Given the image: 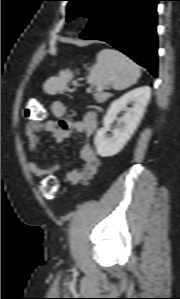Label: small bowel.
<instances>
[{"mask_svg": "<svg viewBox=\"0 0 180 299\" xmlns=\"http://www.w3.org/2000/svg\"><path fill=\"white\" fill-rule=\"evenodd\" d=\"M51 112L56 120H29L25 125V134L30 151L35 152L40 142V133L51 134L55 142L62 143L71 138L74 133H80L90 138L97 129V117L93 112L87 113L82 119H72L66 115L64 102L55 100L51 104ZM81 165L69 169L62 180L69 184H80L90 180L100 167V159L96 155L89 140L83 142L79 151ZM30 171L39 178L57 176L60 165L44 167L35 161L28 164Z\"/></svg>", "mask_w": 180, "mask_h": 299, "instance_id": "c3829d8e", "label": "small bowel"}]
</instances>
